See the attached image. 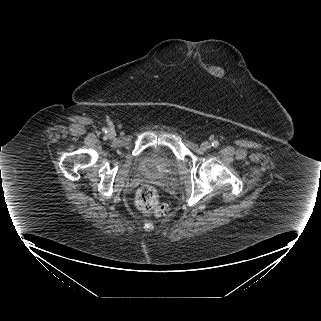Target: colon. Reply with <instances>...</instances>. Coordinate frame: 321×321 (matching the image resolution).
<instances>
[{
    "label": "colon",
    "mask_w": 321,
    "mask_h": 321,
    "mask_svg": "<svg viewBox=\"0 0 321 321\" xmlns=\"http://www.w3.org/2000/svg\"><path fill=\"white\" fill-rule=\"evenodd\" d=\"M135 203L137 208L144 214L164 216L169 208L160 201L157 189L152 185L141 186L137 193Z\"/></svg>",
    "instance_id": "obj_1"
}]
</instances>
